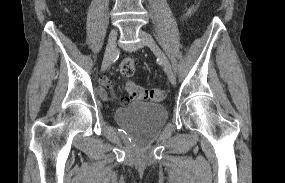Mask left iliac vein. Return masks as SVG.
<instances>
[{
    "label": "left iliac vein",
    "instance_id": "1",
    "mask_svg": "<svg viewBox=\"0 0 285 183\" xmlns=\"http://www.w3.org/2000/svg\"><path fill=\"white\" fill-rule=\"evenodd\" d=\"M139 35H140V38L142 39L143 43L145 45H147L152 50V52L156 55V57L159 59L169 81L172 84H175L176 78H175V75L173 73L170 62L167 59L164 52L160 49V47L158 46L156 41L153 39V37L150 34H148L147 32H145L143 30H140Z\"/></svg>",
    "mask_w": 285,
    "mask_h": 183
}]
</instances>
